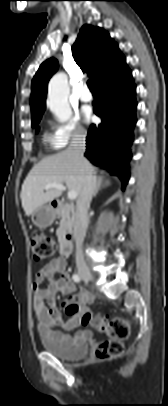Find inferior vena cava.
<instances>
[{
	"label": "inferior vena cava",
	"instance_id": "obj_1",
	"mask_svg": "<svg viewBox=\"0 0 168 406\" xmlns=\"http://www.w3.org/2000/svg\"><path fill=\"white\" fill-rule=\"evenodd\" d=\"M86 135L77 133L73 136L68 151L82 164V190L77 200L73 218V238L75 241V261L78 268H85L86 263L82 254V245L88 226V210L96 188V176L93 169L87 165L83 156L85 152Z\"/></svg>",
	"mask_w": 168,
	"mask_h": 406
}]
</instances>
